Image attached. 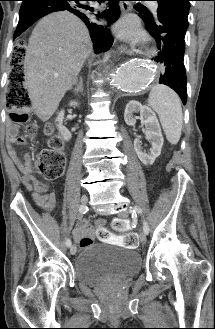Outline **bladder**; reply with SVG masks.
Masks as SVG:
<instances>
[{
	"mask_svg": "<svg viewBox=\"0 0 215 329\" xmlns=\"http://www.w3.org/2000/svg\"><path fill=\"white\" fill-rule=\"evenodd\" d=\"M137 252L126 247L93 244L83 247L75 259L74 274L85 285H95L109 277H128L140 270Z\"/></svg>",
	"mask_w": 215,
	"mask_h": 329,
	"instance_id": "1",
	"label": "bladder"
}]
</instances>
